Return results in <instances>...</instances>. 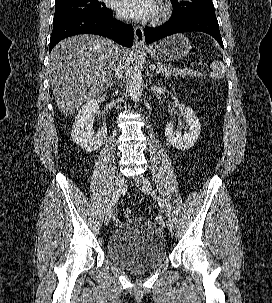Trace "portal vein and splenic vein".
<instances>
[{"label":"portal vein and splenic vein","instance_id":"1","mask_svg":"<svg viewBox=\"0 0 272 303\" xmlns=\"http://www.w3.org/2000/svg\"><path fill=\"white\" fill-rule=\"evenodd\" d=\"M162 71H163V69H162V68L157 67V69H156V72H157V73H161Z\"/></svg>","mask_w":272,"mask_h":303}]
</instances>
